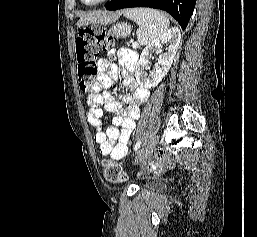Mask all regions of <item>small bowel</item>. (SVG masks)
<instances>
[{
	"instance_id": "1",
	"label": "small bowel",
	"mask_w": 257,
	"mask_h": 237,
	"mask_svg": "<svg viewBox=\"0 0 257 237\" xmlns=\"http://www.w3.org/2000/svg\"><path fill=\"white\" fill-rule=\"evenodd\" d=\"M118 58L122 67L123 84L129 94L117 97L110 91L101 92V89L109 88L113 80L118 77L117 65L101 59L100 73L97 81L89 89L87 100L89 105L87 121L96 130L94 140L99 145L101 154L115 161L123 159L128 154L136 120L139 118V106L149 97V91L138 86L132 75L137 61L135 52L121 50ZM103 109L113 115L111 124L106 128Z\"/></svg>"
}]
</instances>
